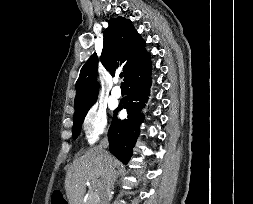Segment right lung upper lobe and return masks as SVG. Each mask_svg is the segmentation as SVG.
I'll list each match as a JSON object with an SVG mask.
<instances>
[{
  "mask_svg": "<svg viewBox=\"0 0 253 204\" xmlns=\"http://www.w3.org/2000/svg\"><path fill=\"white\" fill-rule=\"evenodd\" d=\"M146 54L145 41L129 19L117 17L109 20V26L104 32L100 60L111 75H114L118 67H122L125 81ZM97 63L98 57L94 53L80 71L76 82L74 114L95 103L97 99Z\"/></svg>",
  "mask_w": 253,
  "mask_h": 204,
  "instance_id": "right-lung-upper-lobe-1",
  "label": "right lung upper lobe"
}]
</instances>
